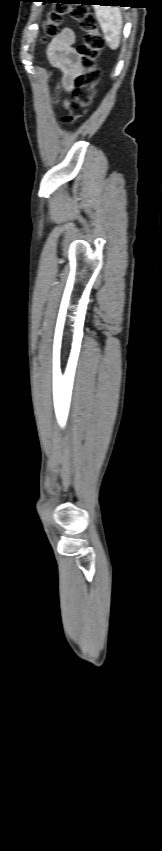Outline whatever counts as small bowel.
<instances>
[{"instance_id":"small-bowel-1","label":"small bowel","mask_w":162,"mask_h":851,"mask_svg":"<svg viewBox=\"0 0 162 851\" xmlns=\"http://www.w3.org/2000/svg\"><path fill=\"white\" fill-rule=\"evenodd\" d=\"M76 34L71 28L61 30L50 42L47 54L52 65L62 71L61 85L71 91L77 76L81 73L80 56L74 48ZM67 106L68 103L64 102Z\"/></svg>"}]
</instances>
